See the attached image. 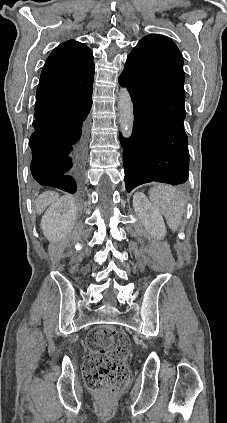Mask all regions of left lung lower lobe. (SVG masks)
Returning <instances> with one entry per match:
<instances>
[{
	"instance_id": "left-lung-lower-lobe-1",
	"label": "left lung lower lobe",
	"mask_w": 227,
	"mask_h": 423,
	"mask_svg": "<svg viewBox=\"0 0 227 423\" xmlns=\"http://www.w3.org/2000/svg\"><path fill=\"white\" fill-rule=\"evenodd\" d=\"M119 83L127 87L134 106L132 135L120 138L126 190L151 181L184 183L189 169L185 112H162L152 105L148 91L122 80Z\"/></svg>"
}]
</instances>
